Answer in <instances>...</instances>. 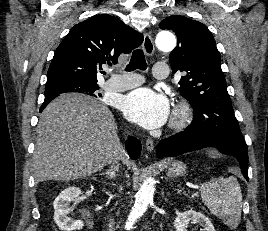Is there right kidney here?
Segmentation results:
<instances>
[{
  "instance_id": "obj_1",
  "label": "right kidney",
  "mask_w": 268,
  "mask_h": 231,
  "mask_svg": "<svg viewBox=\"0 0 268 231\" xmlns=\"http://www.w3.org/2000/svg\"><path fill=\"white\" fill-rule=\"evenodd\" d=\"M81 194V190L78 187H69L63 190L55 199L54 206V221L63 231H75L81 230L84 223L81 220H73L68 217L71 212L70 203L74 201Z\"/></svg>"
}]
</instances>
